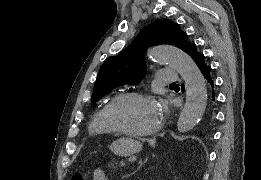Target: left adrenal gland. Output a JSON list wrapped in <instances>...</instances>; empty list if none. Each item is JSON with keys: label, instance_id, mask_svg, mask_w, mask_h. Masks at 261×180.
<instances>
[{"label": "left adrenal gland", "instance_id": "obj_1", "mask_svg": "<svg viewBox=\"0 0 261 180\" xmlns=\"http://www.w3.org/2000/svg\"><path fill=\"white\" fill-rule=\"evenodd\" d=\"M147 160L148 158H146V160H139V168H137V170H140V168H142L143 164H145ZM133 174H135V172H133ZM133 174H131V176H133ZM127 178H130V176H127Z\"/></svg>", "mask_w": 261, "mask_h": 180}]
</instances>
